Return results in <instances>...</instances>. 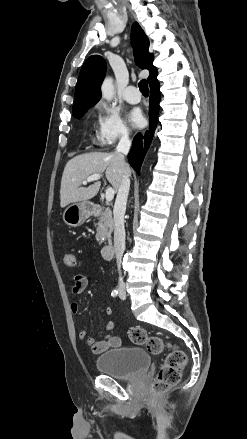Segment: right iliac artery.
Listing matches in <instances>:
<instances>
[{
  "instance_id": "1",
  "label": "right iliac artery",
  "mask_w": 247,
  "mask_h": 439,
  "mask_svg": "<svg viewBox=\"0 0 247 439\" xmlns=\"http://www.w3.org/2000/svg\"><path fill=\"white\" fill-rule=\"evenodd\" d=\"M118 293H119L118 288H115V289L112 291L111 295H112L113 297H116V296L118 295Z\"/></svg>"
}]
</instances>
